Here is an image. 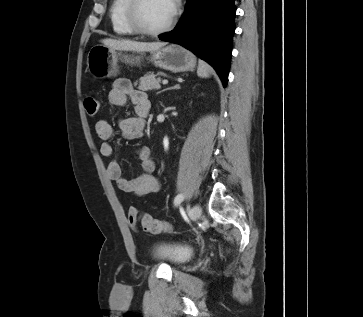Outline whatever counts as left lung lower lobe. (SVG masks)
<instances>
[{"mask_svg":"<svg viewBox=\"0 0 363 317\" xmlns=\"http://www.w3.org/2000/svg\"><path fill=\"white\" fill-rule=\"evenodd\" d=\"M236 8L234 0H187L174 30L160 35L194 52L217 71L223 86L228 80Z\"/></svg>","mask_w":363,"mask_h":317,"instance_id":"0a47b994","label":"left lung lower lobe"}]
</instances>
